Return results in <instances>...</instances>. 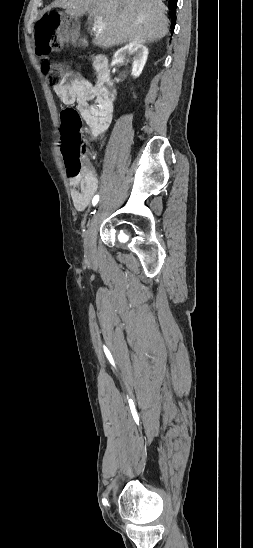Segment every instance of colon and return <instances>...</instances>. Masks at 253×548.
<instances>
[{
  "label": "colon",
  "mask_w": 253,
  "mask_h": 548,
  "mask_svg": "<svg viewBox=\"0 0 253 548\" xmlns=\"http://www.w3.org/2000/svg\"><path fill=\"white\" fill-rule=\"evenodd\" d=\"M63 30L59 15L51 13L42 17L35 26L36 46L42 55L62 45ZM42 72L52 86L61 83L67 65L63 62L44 59ZM81 128L82 123L78 112L67 108L62 112V153L67 164L69 176H77L82 169L81 165Z\"/></svg>",
  "instance_id": "5ec220e1"
}]
</instances>
